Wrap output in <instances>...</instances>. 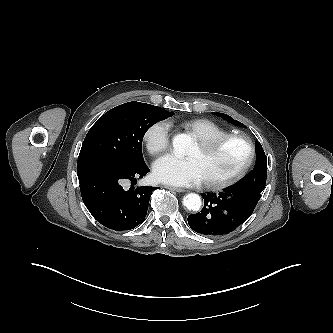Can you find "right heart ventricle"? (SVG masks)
I'll return each instance as SVG.
<instances>
[{"instance_id": "obj_1", "label": "right heart ventricle", "mask_w": 333, "mask_h": 333, "mask_svg": "<svg viewBox=\"0 0 333 333\" xmlns=\"http://www.w3.org/2000/svg\"><path fill=\"white\" fill-rule=\"evenodd\" d=\"M181 126L189 131L197 140L215 138L227 134V130L207 118L185 120Z\"/></svg>"}]
</instances>
